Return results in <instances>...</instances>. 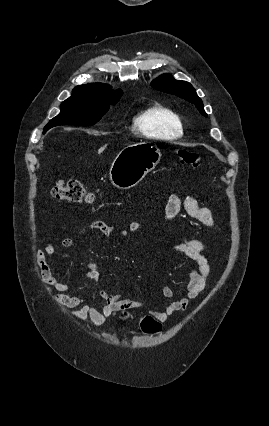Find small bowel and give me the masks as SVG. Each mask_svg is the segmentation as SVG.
<instances>
[{
    "label": "small bowel",
    "instance_id": "c3829d8e",
    "mask_svg": "<svg viewBox=\"0 0 269 426\" xmlns=\"http://www.w3.org/2000/svg\"><path fill=\"white\" fill-rule=\"evenodd\" d=\"M182 210L191 218L205 226L211 228L216 226L213 212L208 208L201 207L192 196H186L184 198H180L177 195L170 196L165 207V214L168 221H175ZM141 227V223H131L128 230H120V233L126 235L128 231L134 232ZM94 230L99 231L101 236L106 239L111 238L116 231L115 227L112 225H108L102 221H94L88 226L79 229L76 235H82ZM73 244V237H66L61 241V246L63 248H70ZM172 249L185 255L195 264L190 266L187 272L188 279L184 285L186 295L172 300L164 310L149 312L154 319L162 323L166 322L174 314L187 309L190 302L197 298L204 290L211 272L209 262L204 255L206 249L204 241L194 238H183L174 244ZM54 253L55 247L50 243L37 252V272L46 284L47 290L56 291L54 295L56 303L66 308H80L76 314L77 316L89 318L95 324H102L107 317L117 310L143 307V303L139 300L126 298L121 294H111L105 290L99 291V296L103 301L100 308L88 303L85 297L67 294L70 290V285L58 280L53 275V267L55 266L53 260ZM83 275L85 278L99 283L100 271L97 263L94 261L87 263ZM162 295L164 298H171L173 296V291L170 287L166 286L163 288Z\"/></svg>",
    "mask_w": 269,
    "mask_h": 426
}]
</instances>
